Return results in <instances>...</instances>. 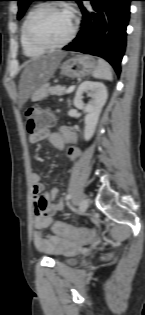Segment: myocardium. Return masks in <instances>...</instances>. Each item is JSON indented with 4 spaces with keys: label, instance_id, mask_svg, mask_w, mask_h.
Masks as SVG:
<instances>
[{
    "label": "myocardium",
    "instance_id": "1",
    "mask_svg": "<svg viewBox=\"0 0 145 315\" xmlns=\"http://www.w3.org/2000/svg\"><path fill=\"white\" fill-rule=\"evenodd\" d=\"M51 10H60V11H65V12L69 13L72 17V26H71L69 34L60 42L44 43V42L37 40L34 37L33 26H34L36 20L42 14H44L45 12L51 11ZM77 25H78L77 17L70 10H68L64 7H59V6L54 5V4H47V5H44L40 8H38L28 19V22L26 24V37H27V40L29 41V43L36 48L42 49L44 51L54 50V49L64 47L74 38L76 31H77Z\"/></svg>",
    "mask_w": 145,
    "mask_h": 315
}]
</instances>
